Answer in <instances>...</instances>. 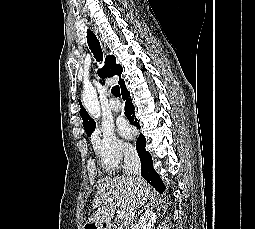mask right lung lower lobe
Returning <instances> with one entry per match:
<instances>
[{
	"mask_svg": "<svg viewBox=\"0 0 255 229\" xmlns=\"http://www.w3.org/2000/svg\"><path fill=\"white\" fill-rule=\"evenodd\" d=\"M122 98L126 100L125 102V115L128 118L129 122L135 125L137 128H140L139 122L134 117V106L131 103L130 92L126 89V86L121 89ZM146 139L143 134H140L137 138L136 149L141 160V175L146 179L159 193L165 191V185L161 181L160 176L153 168V162L151 155L148 151L145 150Z\"/></svg>",
	"mask_w": 255,
	"mask_h": 229,
	"instance_id": "1",
	"label": "right lung lower lobe"
}]
</instances>
